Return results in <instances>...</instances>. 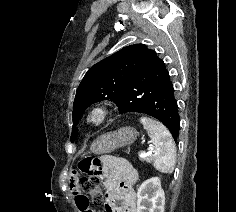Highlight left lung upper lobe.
<instances>
[{
    "instance_id": "1",
    "label": "left lung upper lobe",
    "mask_w": 236,
    "mask_h": 212,
    "mask_svg": "<svg viewBox=\"0 0 236 212\" xmlns=\"http://www.w3.org/2000/svg\"><path fill=\"white\" fill-rule=\"evenodd\" d=\"M148 48L144 44H135L122 48L118 52L92 66L81 81L73 105V123L77 125L79 117L92 103L111 100L115 103L132 81ZM78 136V129H72L71 141Z\"/></svg>"
}]
</instances>
